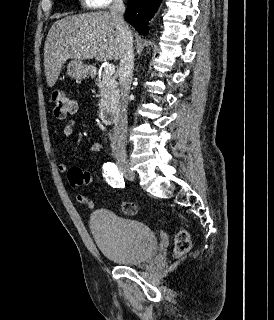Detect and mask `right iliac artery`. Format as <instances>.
<instances>
[{"mask_svg":"<svg viewBox=\"0 0 274 320\" xmlns=\"http://www.w3.org/2000/svg\"><path fill=\"white\" fill-rule=\"evenodd\" d=\"M104 171L107 172L108 183L114 188H124V180L122 173L114 163H105L103 165Z\"/></svg>","mask_w":274,"mask_h":320,"instance_id":"82829eb1","label":"right iliac artery"}]
</instances>
